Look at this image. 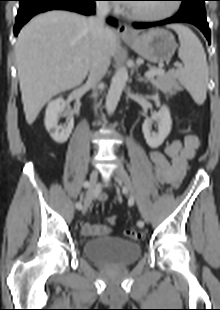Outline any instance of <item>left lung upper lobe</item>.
Returning a JSON list of instances; mask_svg holds the SVG:
<instances>
[{
  "mask_svg": "<svg viewBox=\"0 0 220 310\" xmlns=\"http://www.w3.org/2000/svg\"><path fill=\"white\" fill-rule=\"evenodd\" d=\"M182 1L179 12L182 14L199 13L205 15V0H180Z\"/></svg>",
  "mask_w": 220,
  "mask_h": 310,
  "instance_id": "1",
  "label": "left lung upper lobe"
}]
</instances>
